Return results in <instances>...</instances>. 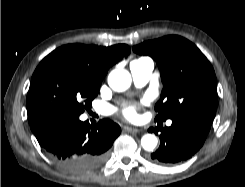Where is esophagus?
<instances>
[{
  "mask_svg": "<svg viewBox=\"0 0 245 187\" xmlns=\"http://www.w3.org/2000/svg\"><path fill=\"white\" fill-rule=\"evenodd\" d=\"M124 130L127 131V132H131V133H138V132H141L142 129H139V128H134V127H124Z\"/></svg>",
  "mask_w": 245,
  "mask_h": 187,
  "instance_id": "obj_1",
  "label": "esophagus"
}]
</instances>
